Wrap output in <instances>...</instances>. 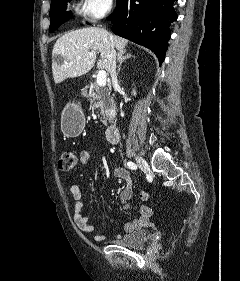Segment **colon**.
I'll return each instance as SVG.
<instances>
[{
	"instance_id": "obj_1",
	"label": "colon",
	"mask_w": 240,
	"mask_h": 281,
	"mask_svg": "<svg viewBox=\"0 0 240 281\" xmlns=\"http://www.w3.org/2000/svg\"><path fill=\"white\" fill-rule=\"evenodd\" d=\"M78 165V157L75 152L67 150L64 151L58 161V166L63 171H71Z\"/></svg>"
}]
</instances>
